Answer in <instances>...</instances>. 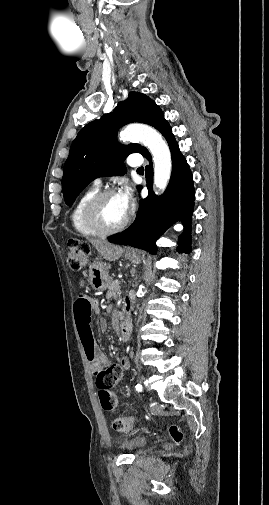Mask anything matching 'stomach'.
<instances>
[{
	"label": "stomach",
	"instance_id": "1",
	"mask_svg": "<svg viewBox=\"0 0 269 505\" xmlns=\"http://www.w3.org/2000/svg\"><path fill=\"white\" fill-rule=\"evenodd\" d=\"M125 258L136 264L142 259L139 252L126 253ZM109 268L110 265L104 262H95L89 266V283L93 289L104 291L109 287L112 282Z\"/></svg>",
	"mask_w": 269,
	"mask_h": 505
}]
</instances>
